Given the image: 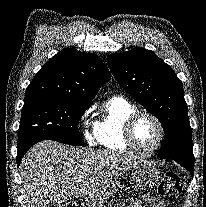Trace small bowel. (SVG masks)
I'll return each instance as SVG.
<instances>
[{
    "mask_svg": "<svg viewBox=\"0 0 206 207\" xmlns=\"http://www.w3.org/2000/svg\"><path fill=\"white\" fill-rule=\"evenodd\" d=\"M166 207L165 202L158 197L143 196L140 199H134L127 204H119L117 207Z\"/></svg>",
    "mask_w": 206,
    "mask_h": 207,
    "instance_id": "c3829d8e",
    "label": "small bowel"
}]
</instances>
